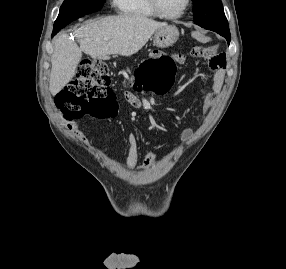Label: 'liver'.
Instances as JSON below:
<instances>
[{
    "label": "liver",
    "mask_w": 286,
    "mask_h": 269,
    "mask_svg": "<svg viewBox=\"0 0 286 269\" xmlns=\"http://www.w3.org/2000/svg\"><path fill=\"white\" fill-rule=\"evenodd\" d=\"M165 25L164 22L138 15L110 16L89 21L76 31L75 37L80 47L67 35H60L55 41L51 57V94H58L73 78L82 52L99 59L112 54L131 56Z\"/></svg>",
    "instance_id": "6515ba94"
}]
</instances>
